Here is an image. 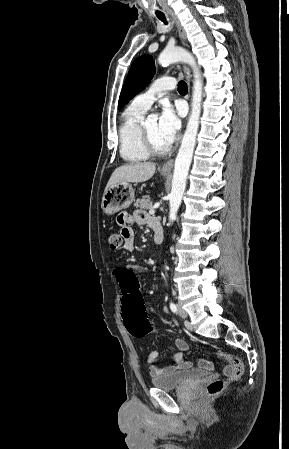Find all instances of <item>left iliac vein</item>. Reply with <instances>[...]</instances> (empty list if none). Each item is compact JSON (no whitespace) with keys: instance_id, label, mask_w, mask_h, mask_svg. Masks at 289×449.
<instances>
[{"instance_id":"obj_1","label":"left iliac vein","mask_w":289,"mask_h":449,"mask_svg":"<svg viewBox=\"0 0 289 449\" xmlns=\"http://www.w3.org/2000/svg\"><path fill=\"white\" fill-rule=\"evenodd\" d=\"M177 314L181 317V318H183V319H186L187 318V312L181 307V306H178V308H177ZM185 326L188 328V329H192V326H191V324H190V322L189 321H185Z\"/></svg>"}]
</instances>
